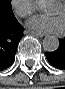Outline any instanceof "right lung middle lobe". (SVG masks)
Wrapping results in <instances>:
<instances>
[{
	"instance_id": "right-lung-middle-lobe-1",
	"label": "right lung middle lobe",
	"mask_w": 65,
	"mask_h": 89,
	"mask_svg": "<svg viewBox=\"0 0 65 89\" xmlns=\"http://www.w3.org/2000/svg\"><path fill=\"white\" fill-rule=\"evenodd\" d=\"M0 15L14 17L11 0H0Z\"/></svg>"
}]
</instances>
